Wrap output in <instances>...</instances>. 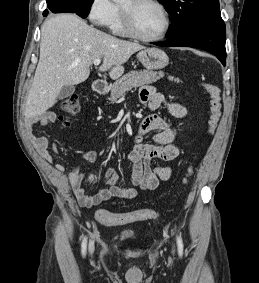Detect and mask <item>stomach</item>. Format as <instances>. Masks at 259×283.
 <instances>
[{
    "label": "stomach",
    "instance_id": "0dacf381",
    "mask_svg": "<svg viewBox=\"0 0 259 283\" xmlns=\"http://www.w3.org/2000/svg\"><path fill=\"white\" fill-rule=\"evenodd\" d=\"M137 58L145 68L150 70L162 69L169 62L167 54L156 47L142 49L138 52Z\"/></svg>",
    "mask_w": 259,
    "mask_h": 283
}]
</instances>
